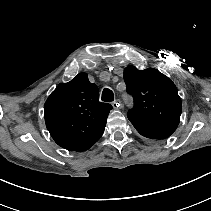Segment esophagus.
I'll return each instance as SVG.
<instances>
[{
    "label": "esophagus",
    "mask_w": 211,
    "mask_h": 211,
    "mask_svg": "<svg viewBox=\"0 0 211 211\" xmlns=\"http://www.w3.org/2000/svg\"><path fill=\"white\" fill-rule=\"evenodd\" d=\"M112 106H113V108H115V109H120V108L122 107V105H121V103H120L119 100L114 101V102L112 103Z\"/></svg>",
    "instance_id": "34e87169"
}]
</instances>
